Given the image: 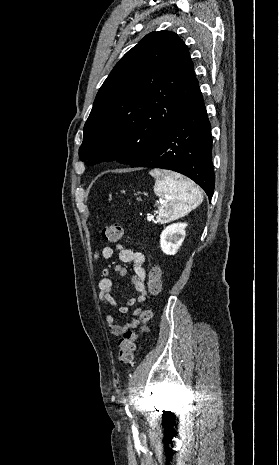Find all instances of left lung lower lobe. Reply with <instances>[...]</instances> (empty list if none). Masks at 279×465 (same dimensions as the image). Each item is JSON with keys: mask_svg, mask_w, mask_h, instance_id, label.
<instances>
[{"mask_svg": "<svg viewBox=\"0 0 279 465\" xmlns=\"http://www.w3.org/2000/svg\"><path fill=\"white\" fill-rule=\"evenodd\" d=\"M130 166L179 172L201 186L211 200L215 186L211 127L197 80L167 131Z\"/></svg>", "mask_w": 279, "mask_h": 465, "instance_id": "obj_1", "label": "left lung lower lobe"}]
</instances>
